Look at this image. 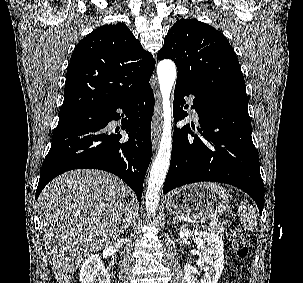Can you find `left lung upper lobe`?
<instances>
[{"label":"left lung upper lobe","instance_id":"1","mask_svg":"<svg viewBox=\"0 0 303 283\" xmlns=\"http://www.w3.org/2000/svg\"><path fill=\"white\" fill-rule=\"evenodd\" d=\"M157 58L175 62L177 81L189 87L247 98L241 68L227 38L195 19L177 20Z\"/></svg>","mask_w":303,"mask_h":283}]
</instances>
